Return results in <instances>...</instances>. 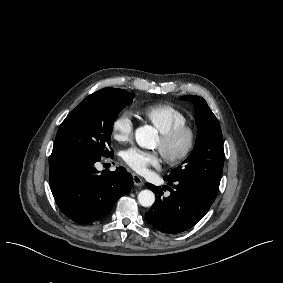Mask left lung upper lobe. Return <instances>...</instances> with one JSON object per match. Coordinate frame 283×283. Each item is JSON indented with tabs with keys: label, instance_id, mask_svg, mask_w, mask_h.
I'll list each match as a JSON object with an SVG mask.
<instances>
[{
	"label": "left lung upper lobe",
	"instance_id": "obj_1",
	"mask_svg": "<svg viewBox=\"0 0 283 283\" xmlns=\"http://www.w3.org/2000/svg\"><path fill=\"white\" fill-rule=\"evenodd\" d=\"M180 99L193 101L195 105L197 140L192 153L183 162L185 165L173 169L165 176L171 181L193 183L202 193L215 198L224 164L220 124L202 97L182 96Z\"/></svg>",
	"mask_w": 283,
	"mask_h": 283
}]
</instances>
